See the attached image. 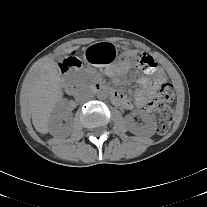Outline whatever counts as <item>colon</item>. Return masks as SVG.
<instances>
[{
	"mask_svg": "<svg viewBox=\"0 0 207 207\" xmlns=\"http://www.w3.org/2000/svg\"><path fill=\"white\" fill-rule=\"evenodd\" d=\"M131 57L135 60L138 67L142 68L146 73L152 74L158 70L159 64L155 58L149 57L142 52H134ZM71 64L65 65L66 69ZM174 98V88L170 81H164L158 90L157 105L155 108V121L157 132L165 134L171 127L173 120L172 110L166 105L167 102Z\"/></svg>",
	"mask_w": 207,
	"mask_h": 207,
	"instance_id": "colon-1",
	"label": "colon"
}]
</instances>
